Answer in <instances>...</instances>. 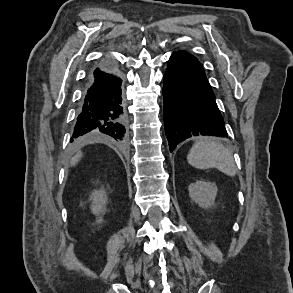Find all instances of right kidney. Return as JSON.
Listing matches in <instances>:
<instances>
[{"label": "right kidney", "mask_w": 293, "mask_h": 293, "mask_svg": "<svg viewBox=\"0 0 293 293\" xmlns=\"http://www.w3.org/2000/svg\"><path fill=\"white\" fill-rule=\"evenodd\" d=\"M90 200L92 201L91 211L98 217L96 223L101 224L103 221L101 218V214H103L106 210L107 204V194L105 190H95L94 192H92Z\"/></svg>", "instance_id": "right-kidney-1"}]
</instances>
